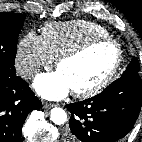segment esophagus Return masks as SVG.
<instances>
[{"instance_id":"34e87169","label":"esophagus","mask_w":142,"mask_h":142,"mask_svg":"<svg viewBox=\"0 0 142 142\" xmlns=\"http://www.w3.org/2000/svg\"><path fill=\"white\" fill-rule=\"evenodd\" d=\"M42 107H43L44 109H50V108H52V107H55V104H53V103H48V102H43Z\"/></svg>"}]
</instances>
